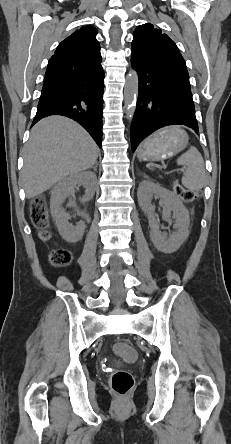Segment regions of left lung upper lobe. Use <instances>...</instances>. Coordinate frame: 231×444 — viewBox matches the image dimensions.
<instances>
[{"mask_svg": "<svg viewBox=\"0 0 231 444\" xmlns=\"http://www.w3.org/2000/svg\"><path fill=\"white\" fill-rule=\"evenodd\" d=\"M131 57L169 66L181 76L189 79L185 61L176 44L150 23L140 25L135 29Z\"/></svg>", "mask_w": 231, "mask_h": 444, "instance_id": "obj_1", "label": "left lung upper lobe"}]
</instances>
